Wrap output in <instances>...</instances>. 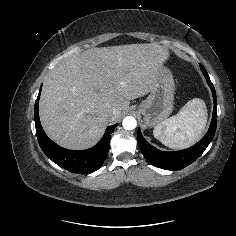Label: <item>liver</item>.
I'll return each instance as SVG.
<instances>
[{"instance_id":"6515ba94","label":"liver","mask_w":236,"mask_h":236,"mask_svg":"<svg viewBox=\"0 0 236 236\" xmlns=\"http://www.w3.org/2000/svg\"><path fill=\"white\" fill-rule=\"evenodd\" d=\"M168 59L167 48L151 43L91 48L62 60L43 84V129L62 147L94 146L130 100L151 91L159 67ZM113 109L118 112L110 117Z\"/></svg>"}]
</instances>
